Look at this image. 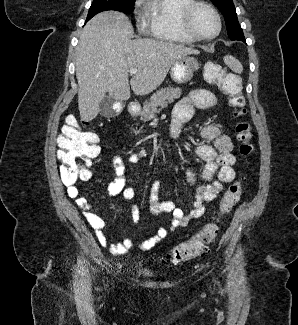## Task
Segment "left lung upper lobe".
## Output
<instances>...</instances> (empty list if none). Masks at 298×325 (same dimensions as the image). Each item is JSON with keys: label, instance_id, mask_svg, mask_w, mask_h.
<instances>
[{"label": "left lung upper lobe", "instance_id": "obj_1", "mask_svg": "<svg viewBox=\"0 0 298 325\" xmlns=\"http://www.w3.org/2000/svg\"><path fill=\"white\" fill-rule=\"evenodd\" d=\"M221 11L223 14L226 27L228 31V36L232 40H240L244 39L242 28L238 22L237 14L235 11V7L233 4V0H211Z\"/></svg>", "mask_w": 298, "mask_h": 325}]
</instances>
